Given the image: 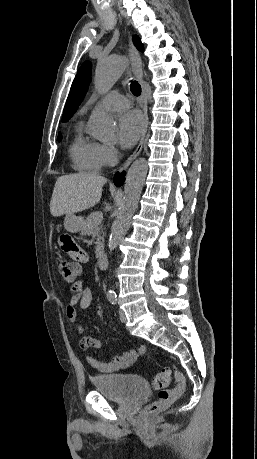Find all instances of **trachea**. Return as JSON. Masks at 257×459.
Returning a JSON list of instances; mask_svg holds the SVG:
<instances>
[{
  "label": "trachea",
  "mask_w": 257,
  "mask_h": 459,
  "mask_svg": "<svg viewBox=\"0 0 257 459\" xmlns=\"http://www.w3.org/2000/svg\"><path fill=\"white\" fill-rule=\"evenodd\" d=\"M130 90L135 96H139L141 94V86L137 81L131 82Z\"/></svg>",
  "instance_id": "obj_1"
}]
</instances>
